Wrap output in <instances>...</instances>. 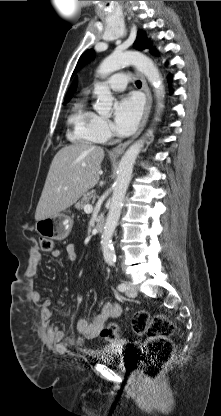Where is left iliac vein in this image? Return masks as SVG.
Segmentation results:
<instances>
[{
    "label": "left iliac vein",
    "mask_w": 221,
    "mask_h": 416,
    "mask_svg": "<svg viewBox=\"0 0 221 416\" xmlns=\"http://www.w3.org/2000/svg\"><path fill=\"white\" fill-rule=\"evenodd\" d=\"M126 285H127L126 295L128 297H135V296H137V290L134 287L133 283L132 282H127Z\"/></svg>",
    "instance_id": "1"
}]
</instances>
